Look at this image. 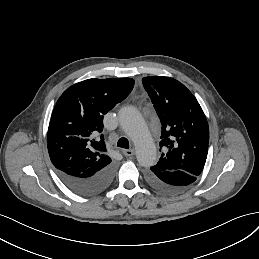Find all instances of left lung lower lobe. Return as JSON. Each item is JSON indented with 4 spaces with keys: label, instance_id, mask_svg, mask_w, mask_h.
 <instances>
[{
    "label": "left lung lower lobe",
    "instance_id": "1",
    "mask_svg": "<svg viewBox=\"0 0 259 259\" xmlns=\"http://www.w3.org/2000/svg\"><path fill=\"white\" fill-rule=\"evenodd\" d=\"M147 181L154 189L165 194H179L192 186L197 176L184 171H148Z\"/></svg>",
    "mask_w": 259,
    "mask_h": 259
}]
</instances>
